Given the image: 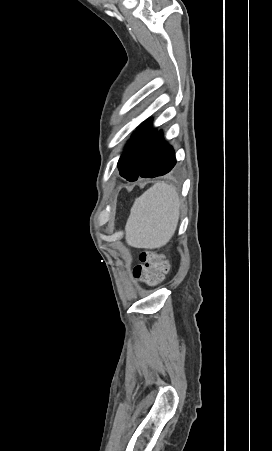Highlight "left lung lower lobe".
Returning <instances> with one entry per match:
<instances>
[{
    "instance_id": "0a47b994",
    "label": "left lung lower lobe",
    "mask_w": 272,
    "mask_h": 451,
    "mask_svg": "<svg viewBox=\"0 0 272 451\" xmlns=\"http://www.w3.org/2000/svg\"><path fill=\"white\" fill-rule=\"evenodd\" d=\"M176 164L172 146L163 139L162 131L156 132L142 168L134 178H126L128 181H136L139 177L154 178L169 173Z\"/></svg>"
}]
</instances>
